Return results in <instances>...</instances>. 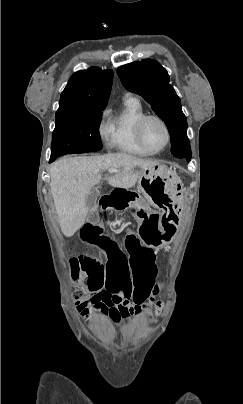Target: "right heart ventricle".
Returning a JSON list of instances; mask_svg holds the SVG:
<instances>
[{
    "instance_id": "e07e8e85",
    "label": "right heart ventricle",
    "mask_w": 243,
    "mask_h": 404,
    "mask_svg": "<svg viewBox=\"0 0 243 404\" xmlns=\"http://www.w3.org/2000/svg\"><path fill=\"white\" fill-rule=\"evenodd\" d=\"M144 114L146 111L141 101L135 95L126 93L120 111L111 119L117 151L137 157L155 154L144 148L136 137L135 124Z\"/></svg>"
}]
</instances>
